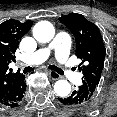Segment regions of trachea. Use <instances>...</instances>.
<instances>
[{
    "mask_svg": "<svg viewBox=\"0 0 117 117\" xmlns=\"http://www.w3.org/2000/svg\"><path fill=\"white\" fill-rule=\"evenodd\" d=\"M49 68L51 70H54L55 72L59 73L60 75H63L64 74V72L61 69H59L58 67H56L54 65H50ZM33 70H34V68H32V67H25V69H24L23 72L24 73H28V72H31Z\"/></svg>",
    "mask_w": 117,
    "mask_h": 117,
    "instance_id": "3493384b",
    "label": "trachea"
}]
</instances>
